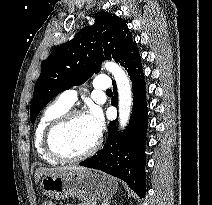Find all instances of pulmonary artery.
<instances>
[{
    "label": "pulmonary artery",
    "mask_w": 212,
    "mask_h": 205,
    "mask_svg": "<svg viewBox=\"0 0 212 205\" xmlns=\"http://www.w3.org/2000/svg\"><path fill=\"white\" fill-rule=\"evenodd\" d=\"M93 87L97 90H109L111 87L110 78L106 75L96 76L93 81ZM77 94L76 89L65 90L60 94L58 100L64 105L71 107L77 100Z\"/></svg>",
    "instance_id": "obj_1"
}]
</instances>
